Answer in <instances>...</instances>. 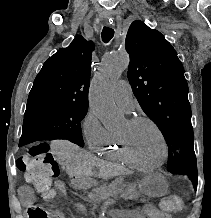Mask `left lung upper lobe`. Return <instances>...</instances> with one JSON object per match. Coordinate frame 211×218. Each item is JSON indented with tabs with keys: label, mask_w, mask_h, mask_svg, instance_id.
<instances>
[{
	"label": "left lung upper lobe",
	"mask_w": 211,
	"mask_h": 218,
	"mask_svg": "<svg viewBox=\"0 0 211 218\" xmlns=\"http://www.w3.org/2000/svg\"><path fill=\"white\" fill-rule=\"evenodd\" d=\"M128 79L140 106L158 126L169 148L167 170L197 186L191 108L184 68L175 49L157 30L134 21L125 42Z\"/></svg>",
	"instance_id": "1"
}]
</instances>
